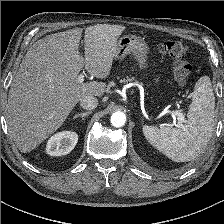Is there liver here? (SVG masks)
<instances>
[{"mask_svg":"<svg viewBox=\"0 0 224 224\" xmlns=\"http://www.w3.org/2000/svg\"><path fill=\"white\" fill-rule=\"evenodd\" d=\"M125 26L98 24L85 29L84 58L79 52L82 28L48 35L27 51L9 90L6 120L22 153L35 149L56 132L85 96L101 97L103 82L78 83L83 66L105 79L118 52Z\"/></svg>","mask_w":224,"mask_h":224,"instance_id":"liver-1","label":"liver"}]
</instances>
